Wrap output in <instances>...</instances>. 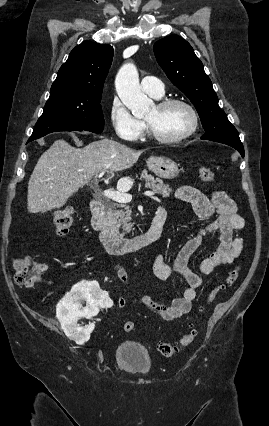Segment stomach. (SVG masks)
Masks as SVG:
<instances>
[{
    "label": "stomach",
    "mask_w": 269,
    "mask_h": 426,
    "mask_svg": "<svg viewBox=\"0 0 269 426\" xmlns=\"http://www.w3.org/2000/svg\"><path fill=\"white\" fill-rule=\"evenodd\" d=\"M147 167L155 175L163 179H173L179 174L177 164L165 157H150L147 160Z\"/></svg>",
    "instance_id": "stomach-1"
}]
</instances>
